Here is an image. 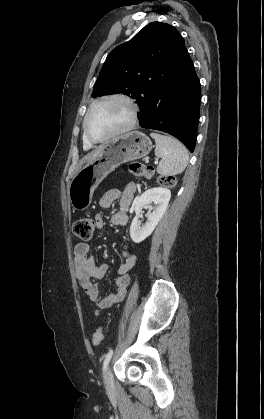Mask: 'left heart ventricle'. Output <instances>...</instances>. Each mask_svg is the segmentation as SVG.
<instances>
[{
	"mask_svg": "<svg viewBox=\"0 0 264 419\" xmlns=\"http://www.w3.org/2000/svg\"><path fill=\"white\" fill-rule=\"evenodd\" d=\"M129 120V108L119 100H112L95 107L91 112L87 128L91 137L103 138L122 128Z\"/></svg>",
	"mask_w": 264,
	"mask_h": 419,
	"instance_id": "b2bd125f",
	"label": "left heart ventricle"
}]
</instances>
